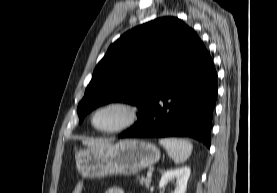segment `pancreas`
<instances>
[{
  "label": "pancreas",
  "mask_w": 277,
  "mask_h": 193,
  "mask_svg": "<svg viewBox=\"0 0 277 193\" xmlns=\"http://www.w3.org/2000/svg\"><path fill=\"white\" fill-rule=\"evenodd\" d=\"M137 180H139L141 185H145L147 188L150 186L151 179L150 178H145V177H137Z\"/></svg>",
  "instance_id": "obj_1"
}]
</instances>
